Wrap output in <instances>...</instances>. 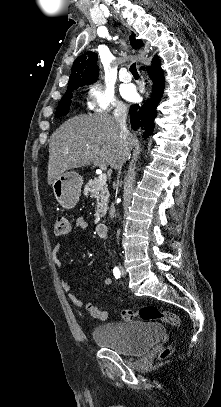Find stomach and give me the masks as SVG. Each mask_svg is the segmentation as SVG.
Masks as SVG:
<instances>
[{
  "label": "stomach",
  "mask_w": 221,
  "mask_h": 407,
  "mask_svg": "<svg viewBox=\"0 0 221 407\" xmlns=\"http://www.w3.org/2000/svg\"><path fill=\"white\" fill-rule=\"evenodd\" d=\"M82 185L83 178L80 174L67 171L52 183V189L58 203L65 209H72L79 201Z\"/></svg>",
  "instance_id": "1"
}]
</instances>
